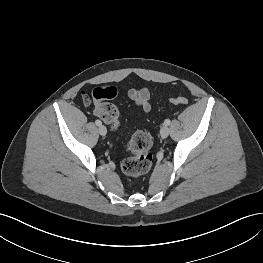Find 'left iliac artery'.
<instances>
[{"mask_svg":"<svg viewBox=\"0 0 263 263\" xmlns=\"http://www.w3.org/2000/svg\"><path fill=\"white\" fill-rule=\"evenodd\" d=\"M164 124H165V125H169V124H170V120H169V119H166V120L164 121Z\"/></svg>","mask_w":263,"mask_h":263,"instance_id":"obj_1","label":"left iliac artery"}]
</instances>
